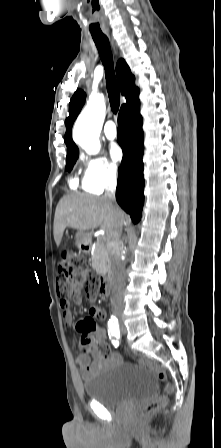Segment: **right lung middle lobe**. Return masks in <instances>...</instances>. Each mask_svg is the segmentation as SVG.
Returning <instances> with one entry per match:
<instances>
[{
    "mask_svg": "<svg viewBox=\"0 0 221 448\" xmlns=\"http://www.w3.org/2000/svg\"><path fill=\"white\" fill-rule=\"evenodd\" d=\"M78 155H79V153H75V154L67 156L65 170L71 171L73 165L75 164V162L78 158Z\"/></svg>",
    "mask_w": 221,
    "mask_h": 448,
    "instance_id": "right-lung-middle-lobe-1",
    "label": "right lung middle lobe"
}]
</instances>
